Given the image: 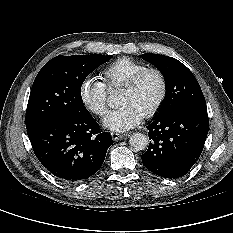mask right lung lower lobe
<instances>
[{"label":"right lung lower lobe","instance_id":"1","mask_svg":"<svg viewBox=\"0 0 233 233\" xmlns=\"http://www.w3.org/2000/svg\"><path fill=\"white\" fill-rule=\"evenodd\" d=\"M27 134L42 165L67 183L80 182L95 174L112 144L111 135L100 131L88 111L33 126Z\"/></svg>","mask_w":233,"mask_h":233}]
</instances>
